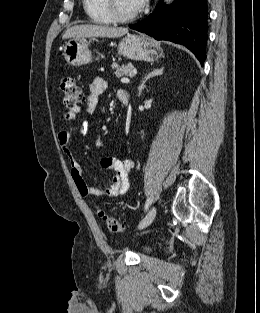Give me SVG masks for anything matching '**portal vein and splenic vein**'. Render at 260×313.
Segmentation results:
<instances>
[{
    "mask_svg": "<svg viewBox=\"0 0 260 313\" xmlns=\"http://www.w3.org/2000/svg\"><path fill=\"white\" fill-rule=\"evenodd\" d=\"M134 73H135V72H134ZM121 82H122V83H129L130 80H129L128 78H122V79H121Z\"/></svg>",
    "mask_w": 260,
    "mask_h": 313,
    "instance_id": "1",
    "label": "portal vein and splenic vein"
}]
</instances>
